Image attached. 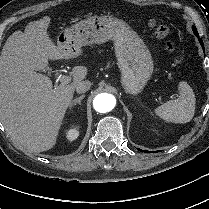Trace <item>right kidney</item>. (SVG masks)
<instances>
[{"label":"right kidney","instance_id":"obj_1","mask_svg":"<svg viewBox=\"0 0 209 209\" xmlns=\"http://www.w3.org/2000/svg\"><path fill=\"white\" fill-rule=\"evenodd\" d=\"M79 136V129L78 127L71 128L66 132V138L70 141L77 139Z\"/></svg>","mask_w":209,"mask_h":209}]
</instances>
